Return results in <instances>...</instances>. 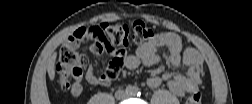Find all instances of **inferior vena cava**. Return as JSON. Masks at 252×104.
I'll return each instance as SVG.
<instances>
[{
	"mask_svg": "<svg viewBox=\"0 0 252 104\" xmlns=\"http://www.w3.org/2000/svg\"><path fill=\"white\" fill-rule=\"evenodd\" d=\"M126 97V92L124 90H118L115 92V98L117 100H122Z\"/></svg>",
	"mask_w": 252,
	"mask_h": 104,
	"instance_id": "602c4592",
	"label": "inferior vena cava"
}]
</instances>
